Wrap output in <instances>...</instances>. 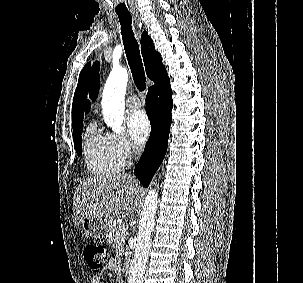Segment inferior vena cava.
Segmentation results:
<instances>
[{
	"label": "inferior vena cava",
	"mask_w": 303,
	"mask_h": 283,
	"mask_svg": "<svg viewBox=\"0 0 303 283\" xmlns=\"http://www.w3.org/2000/svg\"><path fill=\"white\" fill-rule=\"evenodd\" d=\"M133 152L135 154V156H137V158L140 156V150L136 147H133Z\"/></svg>",
	"instance_id": "602c4592"
}]
</instances>
